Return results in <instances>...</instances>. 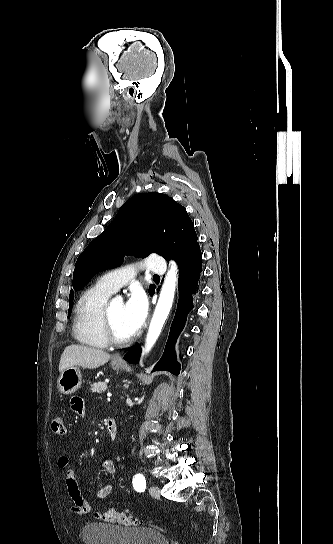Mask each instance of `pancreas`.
Listing matches in <instances>:
<instances>
[{"instance_id":"obj_1","label":"pancreas","mask_w":333,"mask_h":544,"mask_svg":"<svg viewBox=\"0 0 333 544\" xmlns=\"http://www.w3.org/2000/svg\"><path fill=\"white\" fill-rule=\"evenodd\" d=\"M105 390H107V384L105 382H97V383L91 384V391L94 393L101 394Z\"/></svg>"}]
</instances>
